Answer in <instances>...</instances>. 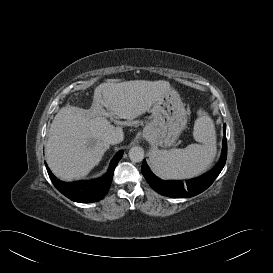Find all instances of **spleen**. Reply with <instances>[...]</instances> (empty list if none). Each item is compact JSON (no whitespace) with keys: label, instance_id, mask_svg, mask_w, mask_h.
Wrapping results in <instances>:
<instances>
[{"label":"spleen","instance_id":"1","mask_svg":"<svg viewBox=\"0 0 273 273\" xmlns=\"http://www.w3.org/2000/svg\"><path fill=\"white\" fill-rule=\"evenodd\" d=\"M194 124V139L202 144H190L184 149L156 150L150 155L151 166L167 179L190 178L205 171L216 154V133L212 119L199 110Z\"/></svg>","mask_w":273,"mask_h":273}]
</instances>
